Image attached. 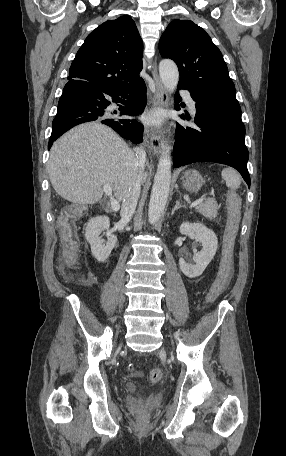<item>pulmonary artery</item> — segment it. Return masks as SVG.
I'll return each instance as SVG.
<instances>
[{
	"mask_svg": "<svg viewBox=\"0 0 286 456\" xmlns=\"http://www.w3.org/2000/svg\"><path fill=\"white\" fill-rule=\"evenodd\" d=\"M180 93L186 99L191 112L194 114L196 112V108L190 94L185 90H181Z\"/></svg>",
	"mask_w": 286,
	"mask_h": 456,
	"instance_id": "pulmonary-artery-1",
	"label": "pulmonary artery"
}]
</instances>
